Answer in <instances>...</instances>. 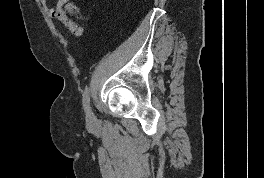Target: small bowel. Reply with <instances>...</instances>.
<instances>
[{"instance_id":"small-bowel-1","label":"small bowel","mask_w":264,"mask_h":178,"mask_svg":"<svg viewBox=\"0 0 264 178\" xmlns=\"http://www.w3.org/2000/svg\"><path fill=\"white\" fill-rule=\"evenodd\" d=\"M48 15L62 23L74 36H81L83 29L64 12L63 6L66 0H57L55 6H50L48 0H40Z\"/></svg>"}]
</instances>
